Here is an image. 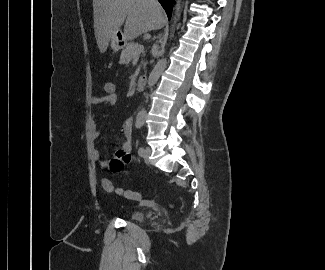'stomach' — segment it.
Segmentation results:
<instances>
[{
    "instance_id": "obj_1",
    "label": "stomach",
    "mask_w": 325,
    "mask_h": 270,
    "mask_svg": "<svg viewBox=\"0 0 325 270\" xmlns=\"http://www.w3.org/2000/svg\"><path fill=\"white\" fill-rule=\"evenodd\" d=\"M127 38L124 36V33L117 32L114 37L111 39V47L114 51L122 49L127 42Z\"/></svg>"
}]
</instances>
